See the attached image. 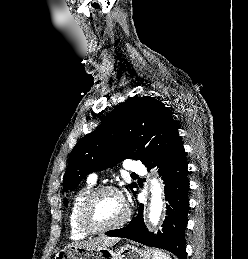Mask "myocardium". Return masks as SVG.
Returning <instances> with one entry per match:
<instances>
[{
  "mask_svg": "<svg viewBox=\"0 0 248 259\" xmlns=\"http://www.w3.org/2000/svg\"><path fill=\"white\" fill-rule=\"evenodd\" d=\"M104 193L117 194L124 203V214L123 216L114 223L108 225H96L91 219V208L95 200ZM130 217V208L125 200L123 194L119 189L113 186H101L90 191L84 200L81 202L78 209L77 219L80 227L88 234L103 233L110 230H114L122 227Z\"/></svg>",
  "mask_w": 248,
  "mask_h": 259,
  "instance_id": "f54148a6",
  "label": "myocardium"
}]
</instances>
